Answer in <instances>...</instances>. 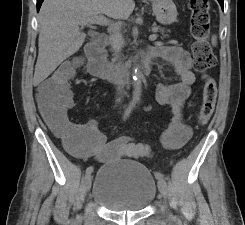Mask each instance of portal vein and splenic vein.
I'll return each instance as SVG.
<instances>
[{
    "instance_id": "18ae733b",
    "label": "portal vein and splenic vein",
    "mask_w": 245,
    "mask_h": 225,
    "mask_svg": "<svg viewBox=\"0 0 245 225\" xmlns=\"http://www.w3.org/2000/svg\"><path fill=\"white\" fill-rule=\"evenodd\" d=\"M81 23H82V25H85V24H98V25H103V26H107V25L111 24L110 20H108L103 15H99V16H96V17H93V18L85 19ZM149 38H150V40L154 41V40L157 39V35L156 34H152Z\"/></svg>"
}]
</instances>
